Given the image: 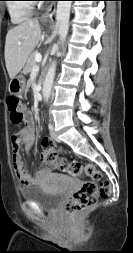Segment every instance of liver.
Listing matches in <instances>:
<instances>
[{
	"mask_svg": "<svg viewBox=\"0 0 133 253\" xmlns=\"http://www.w3.org/2000/svg\"><path fill=\"white\" fill-rule=\"evenodd\" d=\"M40 39L38 19L26 20L8 31L5 41V63L11 79L21 71Z\"/></svg>",
	"mask_w": 133,
	"mask_h": 253,
	"instance_id": "1",
	"label": "liver"
}]
</instances>
